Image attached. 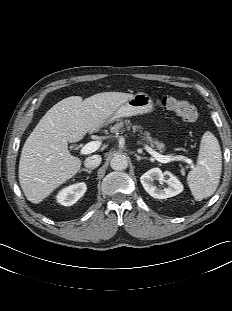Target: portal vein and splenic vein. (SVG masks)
I'll return each mask as SVG.
<instances>
[{
	"instance_id": "obj_1",
	"label": "portal vein and splenic vein",
	"mask_w": 232,
	"mask_h": 311,
	"mask_svg": "<svg viewBox=\"0 0 232 311\" xmlns=\"http://www.w3.org/2000/svg\"><path fill=\"white\" fill-rule=\"evenodd\" d=\"M101 143L99 141H91L89 143H87L86 145H84L81 150L80 153L81 154H90L95 152L96 150L99 149ZM145 149L159 162L161 163H169L172 161H184L187 163H191V160L189 158H187L186 156L183 155H176V156H167V155H162L159 154L158 152L154 151L152 148H150L149 146H146Z\"/></svg>"
}]
</instances>
